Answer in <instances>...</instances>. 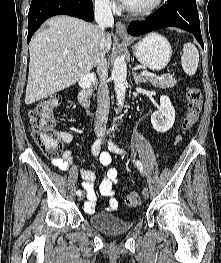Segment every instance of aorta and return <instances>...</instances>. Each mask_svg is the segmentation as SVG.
<instances>
[{"label": "aorta", "mask_w": 221, "mask_h": 263, "mask_svg": "<svg viewBox=\"0 0 221 263\" xmlns=\"http://www.w3.org/2000/svg\"><path fill=\"white\" fill-rule=\"evenodd\" d=\"M111 78L114 82L116 98L119 110L124 105L126 85H127V65L124 57H118L113 64ZM116 120V119H115ZM114 128V126L112 127Z\"/></svg>", "instance_id": "1"}]
</instances>
